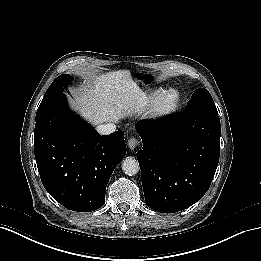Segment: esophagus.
Here are the masks:
<instances>
[{"label":"esophagus","mask_w":261,"mask_h":261,"mask_svg":"<svg viewBox=\"0 0 261 261\" xmlns=\"http://www.w3.org/2000/svg\"><path fill=\"white\" fill-rule=\"evenodd\" d=\"M127 145H128L130 150H134V149H136L140 145V141L137 138H135V137H131L128 140Z\"/></svg>","instance_id":"1"}]
</instances>
